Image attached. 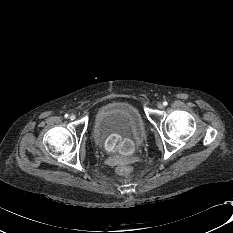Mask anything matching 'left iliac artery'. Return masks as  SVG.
Here are the masks:
<instances>
[{
    "label": "left iliac artery",
    "instance_id": "left-iliac-artery-1",
    "mask_svg": "<svg viewBox=\"0 0 233 233\" xmlns=\"http://www.w3.org/2000/svg\"><path fill=\"white\" fill-rule=\"evenodd\" d=\"M163 105H164V106H167V105H168V102H167V101H164V102H163Z\"/></svg>",
    "mask_w": 233,
    "mask_h": 233
}]
</instances>
